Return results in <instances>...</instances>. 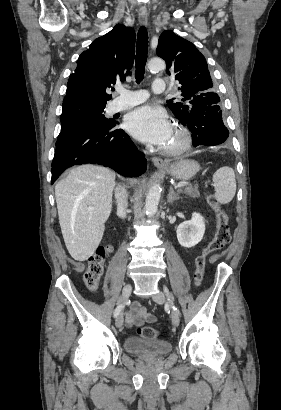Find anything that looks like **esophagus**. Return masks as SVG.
Segmentation results:
<instances>
[{
	"mask_svg": "<svg viewBox=\"0 0 281 410\" xmlns=\"http://www.w3.org/2000/svg\"><path fill=\"white\" fill-rule=\"evenodd\" d=\"M139 22L141 25H146L147 21H148V12L146 9H140L139 10ZM152 162L156 167H165L168 165V163L166 161H164L163 159L159 158V157H153L152 158Z\"/></svg>",
	"mask_w": 281,
	"mask_h": 410,
	"instance_id": "1",
	"label": "esophagus"
}]
</instances>
